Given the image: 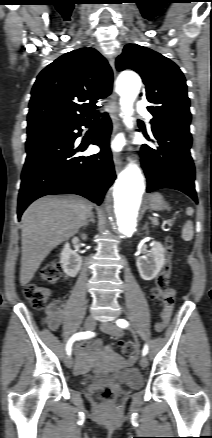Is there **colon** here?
<instances>
[{
    "label": "colon",
    "instance_id": "colon-1",
    "mask_svg": "<svg viewBox=\"0 0 212 438\" xmlns=\"http://www.w3.org/2000/svg\"><path fill=\"white\" fill-rule=\"evenodd\" d=\"M173 242L171 238L166 240V260L162 271L156 278L155 284L150 289L149 296L152 300L158 299L167 293L168 281L170 276V257L172 254ZM40 277L43 281L54 284L60 278V265L57 261H51L47 263L40 272ZM25 297L30 302L31 306L35 309H42L50 299L51 290L49 287L38 284L30 283L25 287ZM119 346L124 355L130 356L135 351V346L131 342H120ZM97 398L103 401H111L115 398V392L110 387H104L95 392Z\"/></svg>",
    "mask_w": 212,
    "mask_h": 438
}]
</instances>
